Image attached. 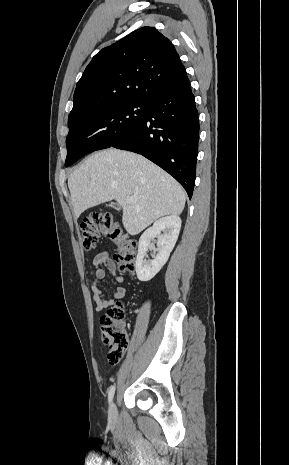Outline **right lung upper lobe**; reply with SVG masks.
Returning <instances> with one entry per match:
<instances>
[{
	"instance_id": "obj_1",
	"label": "right lung upper lobe",
	"mask_w": 289,
	"mask_h": 465,
	"mask_svg": "<svg viewBox=\"0 0 289 465\" xmlns=\"http://www.w3.org/2000/svg\"><path fill=\"white\" fill-rule=\"evenodd\" d=\"M189 84L185 67L169 39L153 27H142L93 57L77 83L69 128L85 118L90 106L150 101Z\"/></svg>"
}]
</instances>
